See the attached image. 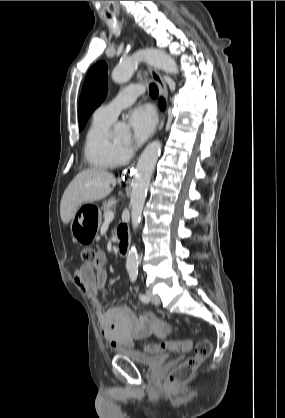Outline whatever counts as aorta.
Wrapping results in <instances>:
<instances>
[{"label": "aorta", "mask_w": 285, "mask_h": 418, "mask_svg": "<svg viewBox=\"0 0 285 418\" xmlns=\"http://www.w3.org/2000/svg\"><path fill=\"white\" fill-rule=\"evenodd\" d=\"M140 61H146L152 66L167 73L176 75L178 68L175 60L164 51L158 49H145L136 52L130 57L124 58L112 71L111 77L115 83L124 84L130 80ZM160 141H153L144 149L136 165V172L132 179L131 192V223L136 230L141 221L142 211L146 200L147 190L155 164L161 153ZM128 272H137L138 253L132 246L126 259Z\"/></svg>", "instance_id": "obj_1"}]
</instances>
